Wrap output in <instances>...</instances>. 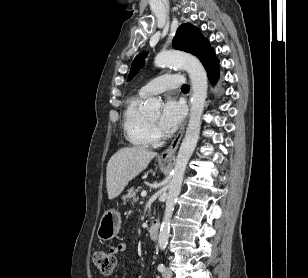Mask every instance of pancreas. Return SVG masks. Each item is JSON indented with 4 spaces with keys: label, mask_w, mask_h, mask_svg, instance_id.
Listing matches in <instances>:
<instances>
[{
    "label": "pancreas",
    "mask_w": 308,
    "mask_h": 278,
    "mask_svg": "<svg viewBox=\"0 0 308 278\" xmlns=\"http://www.w3.org/2000/svg\"><path fill=\"white\" fill-rule=\"evenodd\" d=\"M139 191V188L131 187L128 189L127 194L123 197L124 204L126 201H129L131 199L133 202H136L138 198L136 197L137 192Z\"/></svg>",
    "instance_id": "cf45deb5"
}]
</instances>
